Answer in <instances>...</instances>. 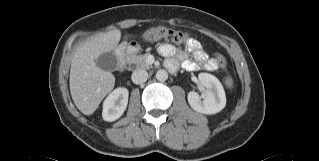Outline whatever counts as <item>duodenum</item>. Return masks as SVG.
<instances>
[{"label":"duodenum","instance_id":"obj_1","mask_svg":"<svg viewBox=\"0 0 319 161\" xmlns=\"http://www.w3.org/2000/svg\"><path fill=\"white\" fill-rule=\"evenodd\" d=\"M133 44L128 43L120 48L116 52V61L118 63L119 69L123 71L126 67L128 61V53L132 50Z\"/></svg>","mask_w":319,"mask_h":161}]
</instances>
